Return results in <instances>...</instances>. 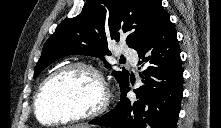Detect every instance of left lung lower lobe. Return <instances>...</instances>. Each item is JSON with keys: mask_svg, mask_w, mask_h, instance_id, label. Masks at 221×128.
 <instances>
[{"mask_svg": "<svg viewBox=\"0 0 221 128\" xmlns=\"http://www.w3.org/2000/svg\"><path fill=\"white\" fill-rule=\"evenodd\" d=\"M176 30L169 15L136 50L145 69L143 86L135 90L137 100L126 94L129 81L121 89L120 102L90 124L110 128H176L183 93V68ZM140 69V68H139Z\"/></svg>", "mask_w": 221, "mask_h": 128, "instance_id": "obj_1", "label": "left lung lower lobe"}]
</instances>
